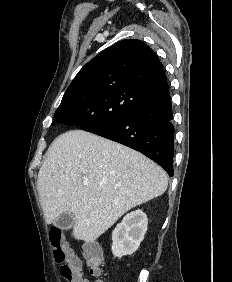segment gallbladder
<instances>
[{
	"label": "gallbladder",
	"instance_id": "1",
	"mask_svg": "<svg viewBox=\"0 0 232 282\" xmlns=\"http://www.w3.org/2000/svg\"><path fill=\"white\" fill-rule=\"evenodd\" d=\"M53 224L59 229L68 230L74 225V215L73 213H64Z\"/></svg>",
	"mask_w": 232,
	"mask_h": 282
}]
</instances>
